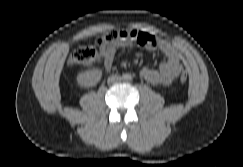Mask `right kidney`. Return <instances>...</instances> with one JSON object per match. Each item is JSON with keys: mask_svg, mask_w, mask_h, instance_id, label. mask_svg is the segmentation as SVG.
<instances>
[{"mask_svg": "<svg viewBox=\"0 0 243 167\" xmlns=\"http://www.w3.org/2000/svg\"><path fill=\"white\" fill-rule=\"evenodd\" d=\"M102 77V71L99 69H90L77 75V83L82 88L95 86Z\"/></svg>", "mask_w": 243, "mask_h": 167, "instance_id": "ca27d5eb", "label": "right kidney"}]
</instances>
